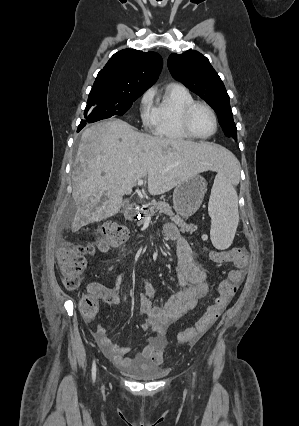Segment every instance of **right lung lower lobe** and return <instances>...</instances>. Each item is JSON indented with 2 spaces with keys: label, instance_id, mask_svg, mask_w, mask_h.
Here are the masks:
<instances>
[{
  "label": "right lung lower lobe",
  "instance_id": "1",
  "mask_svg": "<svg viewBox=\"0 0 299 426\" xmlns=\"http://www.w3.org/2000/svg\"><path fill=\"white\" fill-rule=\"evenodd\" d=\"M84 126H79L78 131H80Z\"/></svg>",
  "mask_w": 299,
  "mask_h": 426
}]
</instances>
